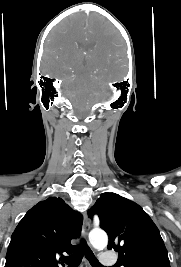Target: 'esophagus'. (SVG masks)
Here are the masks:
<instances>
[{"mask_svg":"<svg viewBox=\"0 0 181 267\" xmlns=\"http://www.w3.org/2000/svg\"><path fill=\"white\" fill-rule=\"evenodd\" d=\"M89 229H90V220L88 218V215L85 214L83 220V228H82V233L85 240H87Z\"/></svg>","mask_w":181,"mask_h":267,"instance_id":"esophagus-1","label":"esophagus"}]
</instances>
